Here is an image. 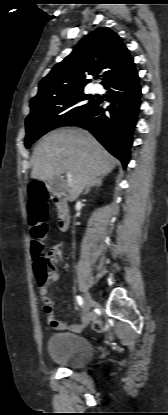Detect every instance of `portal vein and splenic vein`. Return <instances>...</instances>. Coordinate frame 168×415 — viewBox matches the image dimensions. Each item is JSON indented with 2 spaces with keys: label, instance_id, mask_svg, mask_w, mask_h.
I'll use <instances>...</instances> for the list:
<instances>
[{
  "label": "portal vein and splenic vein",
  "instance_id": "1",
  "mask_svg": "<svg viewBox=\"0 0 168 415\" xmlns=\"http://www.w3.org/2000/svg\"><path fill=\"white\" fill-rule=\"evenodd\" d=\"M67 178H68V187H72L73 186V182H72V175L70 172H67Z\"/></svg>",
  "mask_w": 168,
  "mask_h": 415
}]
</instances>
